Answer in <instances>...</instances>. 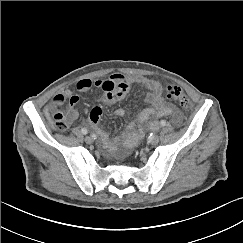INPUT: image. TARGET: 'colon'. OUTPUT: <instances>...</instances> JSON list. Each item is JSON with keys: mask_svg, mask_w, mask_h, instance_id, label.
Listing matches in <instances>:
<instances>
[{"mask_svg": "<svg viewBox=\"0 0 243 243\" xmlns=\"http://www.w3.org/2000/svg\"><path fill=\"white\" fill-rule=\"evenodd\" d=\"M165 95L169 100L183 108H188L190 106L188 98L179 86H167L165 89ZM51 115L54 119V125L57 129L64 131L69 127V120L61 106L55 107L51 112Z\"/></svg>", "mask_w": 243, "mask_h": 243, "instance_id": "5ec220e1", "label": "colon"}]
</instances>
